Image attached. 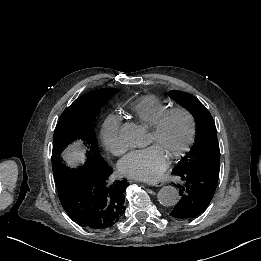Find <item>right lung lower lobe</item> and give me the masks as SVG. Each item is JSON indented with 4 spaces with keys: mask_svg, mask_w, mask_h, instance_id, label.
<instances>
[{
    "mask_svg": "<svg viewBox=\"0 0 261 261\" xmlns=\"http://www.w3.org/2000/svg\"><path fill=\"white\" fill-rule=\"evenodd\" d=\"M113 170L105 161L69 169L56 182L63 209L77 224L90 229L114 225L125 210L126 180L112 181Z\"/></svg>",
    "mask_w": 261,
    "mask_h": 261,
    "instance_id": "1",
    "label": "right lung lower lobe"
}]
</instances>
